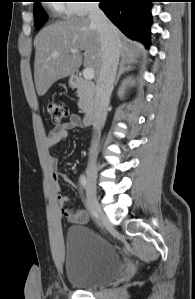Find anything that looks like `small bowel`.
<instances>
[{"label":"small bowel","mask_w":195,"mask_h":299,"mask_svg":"<svg viewBox=\"0 0 195 299\" xmlns=\"http://www.w3.org/2000/svg\"><path fill=\"white\" fill-rule=\"evenodd\" d=\"M81 119L77 114H72L68 121L54 127L47 137V145L53 148L67 139L68 132L76 127H81ZM49 166L55 181V192L57 194V201L60 206V213L71 223L83 224L88 221V214L85 210L73 211L69 208V199L62 193L59 181L63 180L69 182L66 174L58 170L57 160L53 157L49 158Z\"/></svg>","instance_id":"obj_1"}]
</instances>
